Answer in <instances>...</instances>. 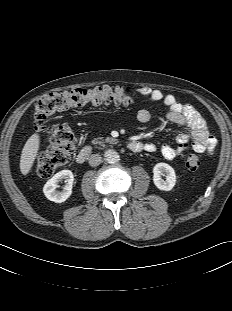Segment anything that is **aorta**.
Here are the masks:
<instances>
[{
  "label": "aorta",
  "instance_id": "obj_1",
  "mask_svg": "<svg viewBox=\"0 0 232 311\" xmlns=\"http://www.w3.org/2000/svg\"><path fill=\"white\" fill-rule=\"evenodd\" d=\"M105 161L114 164L117 163L120 160V156L117 151L113 149L106 150L104 153Z\"/></svg>",
  "mask_w": 232,
  "mask_h": 311
}]
</instances>
